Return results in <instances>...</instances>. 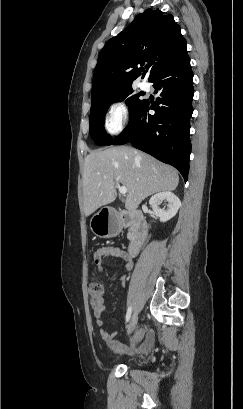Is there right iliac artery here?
Returning <instances> with one entry per match:
<instances>
[{
	"label": "right iliac artery",
	"instance_id": "obj_1",
	"mask_svg": "<svg viewBox=\"0 0 243 409\" xmlns=\"http://www.w3.org/2000/svg\"><path fill=\"white\" fill-rule=\"evenodd\" d=\"M131 313H132V307L129 306L128 309H127V313H126V322H128L130 320Z\"/></svg>",
	"mask_w": 243,
	"mask_h": 409
}]
</instances>
